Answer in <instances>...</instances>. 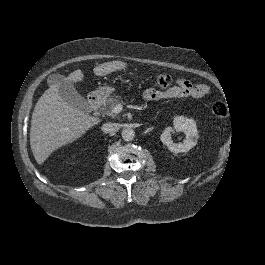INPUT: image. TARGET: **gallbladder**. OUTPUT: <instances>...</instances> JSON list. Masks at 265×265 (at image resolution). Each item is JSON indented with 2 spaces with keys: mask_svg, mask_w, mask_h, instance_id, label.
<instances>
[{
  "mask_svg": "<svg viewBox=\"0 0 265 265\" xmlns=\"http://www.w3.org/2000/svg\"><path fill=\"white\" fill-rule=\"evenodd\" d=\"M47 83L49 86L59 85L58 94L68 104L80 111L91 112V107L87 100L77 92L72 82L68 81L65 76L51 74L48 76Z\"/></svg>",
  "mask_w": 265,
  "mask_h": 265,
  "instance_id": "bac80fb5",
  "label": "gallbladder"
}]
</instances>
